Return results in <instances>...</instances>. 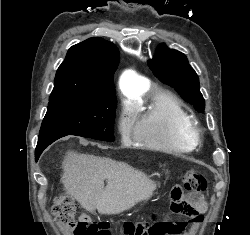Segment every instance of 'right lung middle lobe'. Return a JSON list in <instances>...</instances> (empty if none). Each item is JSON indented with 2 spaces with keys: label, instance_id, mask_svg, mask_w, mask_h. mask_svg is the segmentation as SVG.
Wrapping results in <instances>:
<instances>
[{
  "label": "right lung middle lobe",
  "instance_id": "right-lung-middle-lobe-1",
  "mask_svg": "<svg viewBox=\"0 0 250 235\" xmlns=\"http://www.w3.org/2000/svg\"><path fill=\"white\" fill-rule=\"evenodd\" d=\"M115 93L69 94L49 98L39 138L52 134L76 135L112 142Z\"/></svg>",
  "mask_w": 250,
  "mask_h": 235
}]
</instances>
